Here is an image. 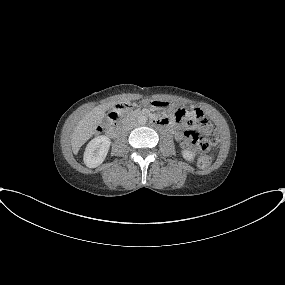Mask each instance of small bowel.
Returning <instances> with one entry per match:
<instances>
[{"mask_svg": "<svg viewBox=\"0 0 285 285\" xmlns=\"http://www.w3.org/2000/svg\"><path fill=\"white\" fill-rule=\"evenodd\" d=\"M200 113H201L200 110H196L197 115H199ZM175 137H176V140L179 141L182 145L186 144L185 136L183 132H180V131L176 132Z\"/></svg>", "mask_w": 285, "mask_h": 285, "instance_id": "obj_1", "label": "small bowel"}]
</instances>
